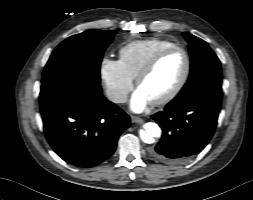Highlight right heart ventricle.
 <instances>
[{
  "label": "right heart ventricle",
  "mask_w": 253,
  "mask_h": 200,
  "mask_svg": "<svg viewBox=\"0 0 253 200\" xmlns=\"http://www.w3.org/2000/svg\"><path fill=\"white\" fill-rule=\"evenodd\" d=\"M174 46L173 42L159 38L131 41L120 48L119 61L125 72L135 78L157 53Z\"/></svg>",
  "instance_id": "e07e8e85"
}]
</instances>
